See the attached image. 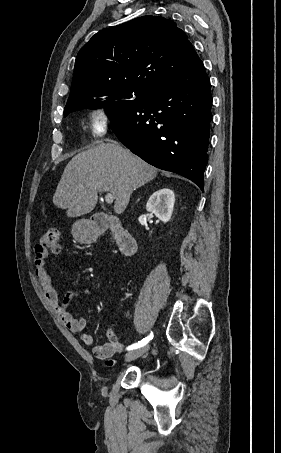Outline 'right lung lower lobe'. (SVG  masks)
<instances>
[{"label":"right lung lower lobe","instance_id":"obj_1","mask_svg":"<svg viewBox=\"0 0 281 453\" xmlns=\"http://www.w3.org/2000/svg\"><path fill=\"white\" fill-rule=\"evenodd\" d=\"M211 104L210 80L198 58L174 78L104 110L115 135L134 154L203 190Z\"/></svg>","mask_w":281,"mask_h":453}]
</instances>
